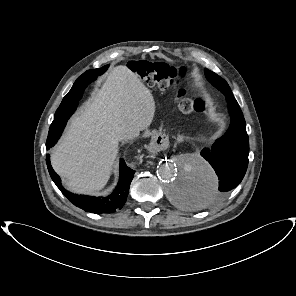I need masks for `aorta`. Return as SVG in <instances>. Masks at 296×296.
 Instances as JSON below:
<instances>
[{
	"instance_id": "762f6f07",
	"label": "aorta",
	"mask_w": 296,
	"mask_h": 296,
	"mask_svg": "<svg viewBox=\"0 0 296 296\" xmlns=\"http://www.w3.org/2000/svg\"><path fill=\"white\" fill-rule=\"evenodd\" d=\"M157 175L166 184L171 200L187 208H204L212 203L217 193L215 171L194 154L184 155L177 162L170 159L159 162Z\"/></svg>"
}]
</instances>
